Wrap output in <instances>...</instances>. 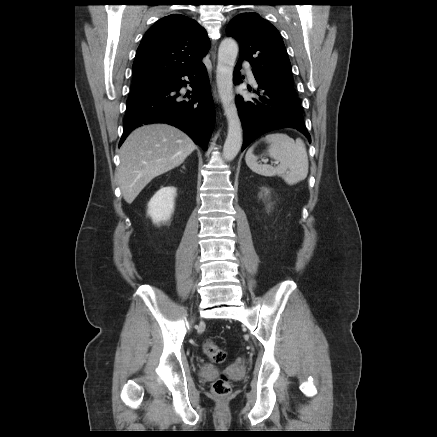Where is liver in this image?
Returning <instances> with one entry per match:
<instances>
[{
    "instance_id": "1",
    "label": "liver",
    "mask_w": 437,
    "mask_h": 437,
    "mask_svg": "<svg viewBox=\"0 0 437 437\" xmlns=\"http://www.w3.org/2000/svg\"><path fill=\"white\" fill-rule=\"evenodd\" d=\"M195 149L192 139L174 126L135 129L120 149L117 178L125 201L131 204L153 178L181 165Z\"/></svg>"
}]
</instances>
